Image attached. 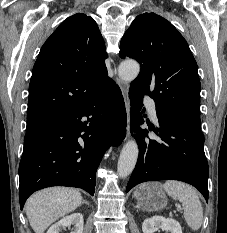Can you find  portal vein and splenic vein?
<instances>
[{
    "label": "portal vein and splenic vein",
    "instance_id": "1",
    "mask_svg": "<svg viewBox=\"0 0 227 233\" xmlns=\"http://www.w3.org/2000/svg\"><path fill=\"white\" fill-rule=\"evenodd\" d=\"M177 208H178V209H180L181 207H180V206H178Z\"/></svg>",
    "mask_w": 227,
    "mask_h": 233
}]
</instances>
